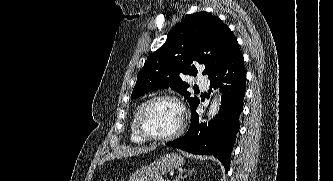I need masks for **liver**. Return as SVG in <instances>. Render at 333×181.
I'll use <instances>...</instances> for the list:
<instances>
[{
	"label": "liver",
	"instance_id": "liver-1",
	"mask_svg": "<svg viewBox=\"0 0 333 181\" xmlns=\"http://www.w3.org/2000/svg\"><path fill=\"white\" fill-rule=\"evenodd\" d=\"M156 146H150V147H122L117 150H115L113 153L107 155L102 161L101 164L105 161L114 159V158H127L136 156L139 154H144L150 151L155 150Z\"/></svg>",
	"mask_w": 333,
	"mask_h": 181
}]
</instances>
